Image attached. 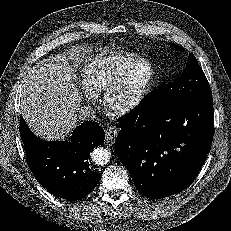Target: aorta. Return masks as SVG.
I'll return each mask as SVG.
<instances>
[{
    "label": "aorta",
    "instance_id": "obj_1",
    "mask_svg": "<svg viewBox=\"0 0 231 231\" xmlns=\"http://www.w3.org/2000/svg\"><path fill=\"white\" fill-rule=\"evenodd\" d=\"M92 160L97 165L107 164L110 160V151L103 147H98L92 152Z\"/></svg>",
    "mask_w": 231,
    "mask_h": 231
}]
</instances>
